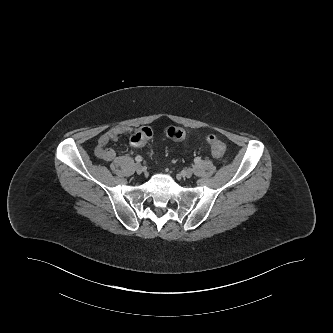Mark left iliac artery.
<instances>
[{"instance_id":"1","label":"left iliac artery","mask_w":333,"mask_h":333,"mask_svg":"<svg viewBox=\"0 0 333 333\" xmlns=\"http://www.w3.org/2000/svg\"><path fill=\"white\" fill-rule=\"evenodd\" d=\"M201 161V158L200 157H196L195 159H194V162L195 163H199Z\"/></svg>"}]
</instances>
